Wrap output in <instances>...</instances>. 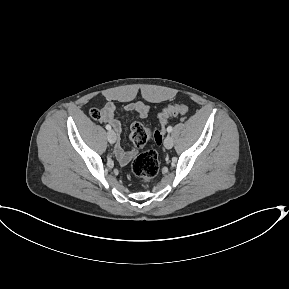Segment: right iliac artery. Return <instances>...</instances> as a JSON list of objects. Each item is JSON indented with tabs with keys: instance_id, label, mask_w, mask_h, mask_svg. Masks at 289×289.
Returning a JSON list of instances; mask_svg holds the SVG:
<instances>
[{
	"instance_id": "right-iliac-artery-1",
	"label": "right iliac artery",
	"mask_w": 289,
	"mask_h": 289,
	"mask_svg": "<svg viewBox=\"0 0 289 289\" xmlns=\"http://www.w3.org/2000/svg\"><path fill=\"white\" fill-rule=\"evenodd\" d=\"M105 128H106L107 130H111V126H110V125H106Z\"/></svg>"
}]
</instances>
